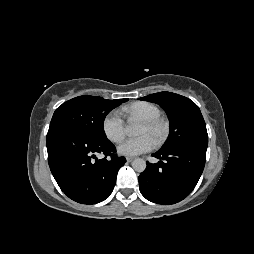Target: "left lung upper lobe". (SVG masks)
Returning a JSON list of instances; mask_svg holds the SVG:
<instances>
[{"label":"left lung upper lobe","instance_id":"obj_1","mask_svg":"<svg viewBox=\"0 0 254 254\" xmlns=\"http://www.w3.org/2000/svg\"><path fill=\"white\" fill-rule=\"evenodd\" d=\"M140 100L159 104L168 115L170 135L161 151L187 144L208 145L205 121L199 107L192 100L171 92L151 94Z\"/></svg>","mask_w":254,"mask_h":254}]
</instances>
